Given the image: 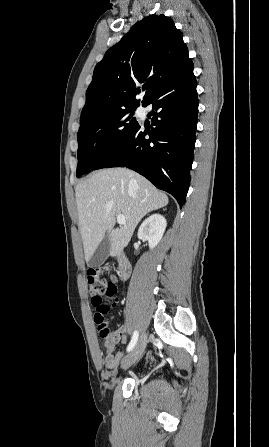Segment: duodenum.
<instances>
[{
    "label": "duodenum",
    "instance_id": "duodenum-1",
    "mask_svg": "<svg viewBox=\"0 0 269 447\" xmlns=\"http://www.w3.org/2000/svg\"><path fill=\"white\" fill-rule=\"evenodd\" d=\"M118 276L121 280H126L131 272V265L128 258L124 254L118 256Z\"/></svg>",
    "mask_w": 269,
    "mask_h": 447
}]
</instances>
